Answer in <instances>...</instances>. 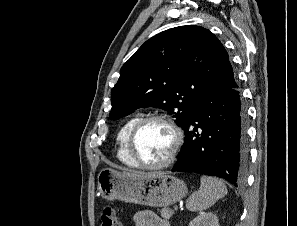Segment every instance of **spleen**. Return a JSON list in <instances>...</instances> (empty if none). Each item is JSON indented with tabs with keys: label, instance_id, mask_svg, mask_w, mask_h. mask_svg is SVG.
Masks as SVG:
<instances>
[{
	"label": "spleen",
	"instance_id": "spleen-1",
	"mask_svg": "<svg viewBox=\"0 0 297 226\" xmlns=\"http://www.w3.org/2000/svg\"><path fill=\"white\" fill-rule=\"evenodd\" d=\"M200 188L186 201V208L191 212L203 211L227 194L224 183L217 178L202 176Z\"/></svg>",
	"mask_w": 297,
	"mask_h": 226
}]
</instances>
